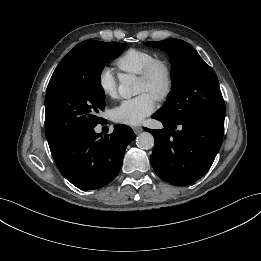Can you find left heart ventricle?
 Segmentation results:
<instances>
[{
    "label": "left heart ventricle",
    "instance_id": "b2bd125f",
    "mask_svg": "<svg viewBox=\"0 0 261 261\" xmlns=\"http://www.w3.org/2000/svg\"><path fill=\"white\" fill-rule=\"evenodd\" d=\"M164 85V73L160 70L157 72L153 82L146 83L142 80H138L137 93H148L155 96L156 92L159 91Z\"/></svg>",
    "mask_w": 261,
    "mask_h": 261
}]
</instances>
